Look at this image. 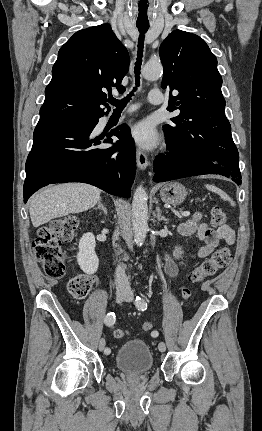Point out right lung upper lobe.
<instances>
[{"mask_svg":"<svg viewBox=\"0 0 262 431\" xmlns=\"http://www.w3.org/2000/svg\"><path fill=\"white\" fill-rule=\"evenodd\" d=\"M128 68L129 54L110 25L76 32L58 52L40 119L102 117L107 92L124 88Z\"/></svg>","mask_w":262,"mask_h":431,"instance_id":"1","label":"right lung upper lobe"}]
</instances>
